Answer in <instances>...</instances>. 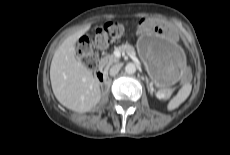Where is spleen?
<instances>
[{
  "mask_svg": "<svg viewBox=\"0 0 230 155\" xmlns=\"http://www.w3.org/2000/svg\"><path fill=\"white\" fill-rule=\"evenodd\" d=\"M192 90L191 84L184 85L178 93L169 101L167 104V109L172 111L178 108L190 95Z\"/></svg>",
  "mask_w": 230,
  "mask_h": 155,
  "instance_id": "1",
  "label": "spleen"
}]
</instances>
